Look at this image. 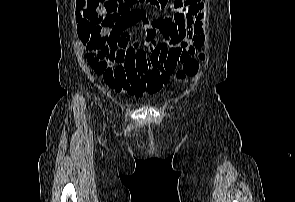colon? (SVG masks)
Listing matches in <instances>:
<instances>
[{"label":"colon","instance_id":"5ec220e1","mask_svg":"<svg viewBox=\"0 0 295 202\" xmlns=\"http://www.w3.org/2000/svg\"><path fill=\"white\" fill-rule=\"evenodd\" d=\"M106 11V18L98 23L92 24L84 20L81 28V39L91 47H108V41L111 38V32L107 31L113 26L114 19L123 18L131 14L138 3L159 4L163 6L167 0H101ZM200 60H204V55H199ZM182 70L177 72V77L183 79L187 76H194L199 70V61L193 58V54L189 58L180 60ZM177 67V66H176ZM176 67L168 65V73L172 74ZM109 77H112L111 75ZM114 77V76H113Z\"/></svg>","mask_w":295,"mask_h":202}]
</instances>
